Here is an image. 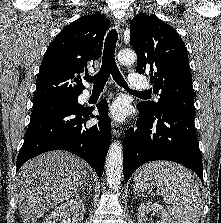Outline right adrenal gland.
I'll return each mask as SVG.
<instances>
[{
    "instance_id": "right-adrenal-gland-1",
    "label": "right adrenal gland",
    "mask_w": 221,
    "mask_h": 223,
    "mask_svg": "<svg viewBox=\"0 0 221 223\" xmlns=\"http://www.w3.org/2000/svg\"><path fill=\"white\" fill-rule=\"evenodd\" d=\"M86 186L89 188V190H92L89 178H87V182L82 186L81 190H85Z\"/></svg>"
}]
</instances>
